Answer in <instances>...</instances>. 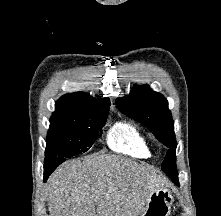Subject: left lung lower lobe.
<instances>
[{
    "instance_id": "0a47b994",
    "label": "left lung lower lobe",
    "mask_w": 221,
    "mask_h": 216,
    "mask_svg": "<svg viewBox=\"0 0 221 216\" xmlns=\"http://www.w3.org/2000/svg\"><path fill=\"white\" fill-rule=\"evenodd\" d=\"M174 183H175L176 185H179L178 181H175Z\"/></svg>"
}]
</instances>
